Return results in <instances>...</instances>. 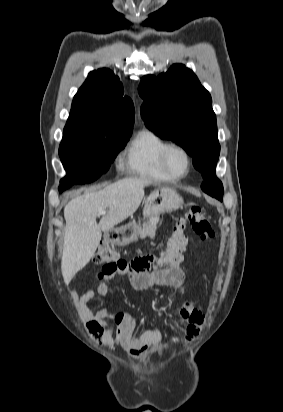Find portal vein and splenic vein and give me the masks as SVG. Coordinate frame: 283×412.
Wrapping results in <instances>:
<instances>
[{
    "label": "portal vein and splenic vein",
    "instance_id": "1",
    "mask_svg": "<svg viewBox=\"0 0 283 412\" xmlns=\"http://www.w3.org/2000/svg\"><path fill=\"white\" fill-rule=\"evenodd\" d=\"M104 214H106V210H100V211H99V216H100V215H104Z\"/></svg>",
    "mask_w": 283,
    "mask_h": 412
}]
</instances>
